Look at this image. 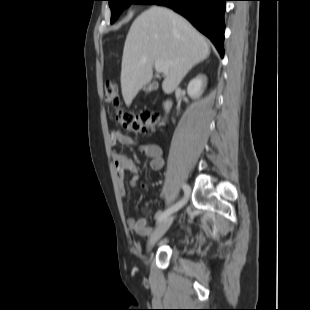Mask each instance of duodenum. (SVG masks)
I'll return each mask as SVG.
<instances>
[{
    "mask_svg": "<svg viewBox=\"0 0 310 310\" xmlns=\"http://www.w3.org/2000/svg\"><path fill=\"white\" fill-rule=\"evenodd\" d=\"M171 101L169 100H166L163 104V114H164V117L167 115V113L170 111L171 109Z\"/></svg>",
    "mask_w": 310,
    "mask_h": 310,
    "instance_id": "duodenum-1",
    "label": "duodenum"
}]
</instances>
